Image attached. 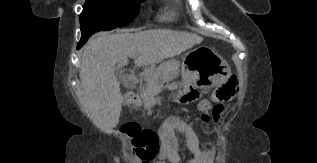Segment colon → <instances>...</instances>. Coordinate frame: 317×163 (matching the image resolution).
<instances>
[{"label":"colon","instance_id":"colon-1","mask_svg":"<svg viewBox=\"0 0 317 163\" xmlns=\"http://www.w3.org/2000/svg\"><path fill=\"white\" fill-rule=\"evenodd\" d=\"M238 92V80L235 76H232L213 91L210 100L206 99L199 103L202 120L204 122H210L216 119L222 113V103L228 102L236 97ZM189 101V95L180 98V102L182 103ZM212 102H214L215 105H212ZM124 132L130 137L134 146V154L142 163H150L157 157L160 148V137L156 131L141 128L137 124H129L124 128Z\"/></svg>","mask_w":317,"mask_h":163}]
</instances>
